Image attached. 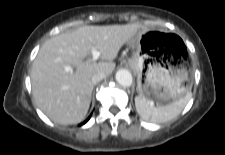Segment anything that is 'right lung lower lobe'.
<instances>
[{
    "instance_id": "right-lung-lower-lobe-1",
    "label": "right lung lower lobe",
    "mask_w": 225,
    "mask_h": 155,
    "mask_svg": "<svg viewBox=\"0 0 225 155\" xmlns=\"http://www.w3.org/2000/svg\"><path fill=\"white\" fill-rule=\"evenodd\" d=\"M90 119V117L86 120V121H84L82 124H80V125H83V124H85L88 120Z\"/></svg>"
}]
</instances>
